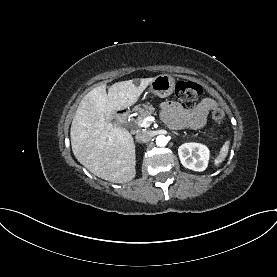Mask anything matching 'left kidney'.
Instances as JSON below:
<instances>
[{
	"mask_svg": "<svg viewBox=\"0 0 277 277\" xmlns=\"http://www.w3.org/2000/svg\"><path fill=\"white\" fill-rule=\"evenodd\" d=\"M182 165L193 171H204L208 166L209 149L200 143H184L178 149Z\"/></svg>",
	"mask_w": 277,
	"mask_h": 277,
	"instance_id": "5707ae66",
	"label": "left kidney"
}]
</instances>
